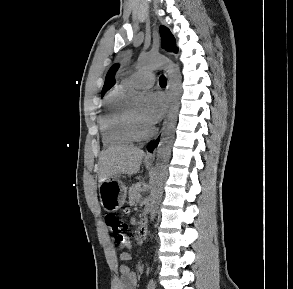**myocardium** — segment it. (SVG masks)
<instances>
[{
  "label": "myocardium",
  "instance_id": "obj_1",
  "mask_svg": "<svg viewBox=\"0 0 293 289\" xmlns=\"http://www.w3.org/2000/svg\"><path fill=\"white\" fill-rule=\"evenodd\" d=\"M128 122H129V131L133 138V141H145L153 137L155 130L150 128L148 131H142L137 121L133 117L131 111H128Z\"/></svg>",
  "mask_w": 293,
  "mask_h": 289
}]
</instances>
